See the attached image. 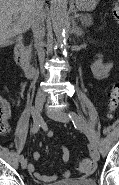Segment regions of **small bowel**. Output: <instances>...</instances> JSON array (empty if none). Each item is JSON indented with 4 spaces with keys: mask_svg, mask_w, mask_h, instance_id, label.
<instances>
[{
    "mask_svg": "<svg viewBox=\"0 0 119 185\" xmlns=\"http://www.w3.org/2000/svg\"><path fill=\"white\" fill-rule=\"evenodd\" d=\"M112 67H113V64L111 62H105L102 59V57H98L92 63L91 70L93 75L97 79H104L109 75ZM3 110H4V113L7 115V117L10 118L11 110L8 103L6 102L3 103ZM49 136H52L51 131L49 132ZM61 149H62V161L66 169L63 172H61L60 175L49 176V175H44L42 173H39L36 171L35 166L33 164H29L28 166L29 173L32 174L34 178L40 182H51V181L57 180L59 177H62V178L68 177L70 174V171L68 170L67 166L70 159V150L68 147L63 145L61 146ZM33 158L35 161H38L40 159V153L34 152Z\"/></svg>",
    "mask_w": 119,
    "mask_h": 185,
    "instance_id": "obj_1",
    "label": "small bowel"
}]
</instances>
